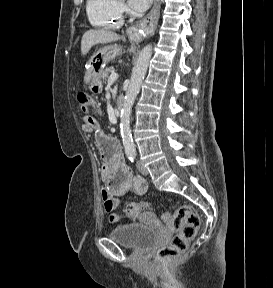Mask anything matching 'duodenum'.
Returning <instances> with one entry per match:
<instances>
[{
    "instance_id": "obj_1",
    "label": "duodenum",
    "mask_w": 273,
    "mask_h": 288,
    "mask_svg": "<svg viewBox=\"0 0 273 288\" xmlns=\"http://www.w3.org/2000/svg\"><path fill=\"white\" fill-rule=\"evenodd\" d=\"M124 106H125V99L124 97L120 96L116 102V108L119 112H121Z\"/></svg>"
}]
</instances>
